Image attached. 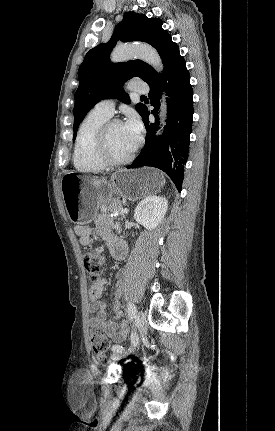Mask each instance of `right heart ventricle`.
Segmentation results:
<instances>
[{"label":"right heart ventricle","instance_id":"obj_1","mask_svg":"<svg viewBox=\"0 0 275 431\" xmlns=\"http://www.w3.org/2000/svg\"><path fill=\"white\" fill-rule=\"evenodd\" d=\"M107 120H109V116L93 109L80 123L73 153V161L77 170L96 173L106 168L98 159L95 146L98 132Z\"/></svg>","mask_w":275,"mask_h":431}]
</instances>
